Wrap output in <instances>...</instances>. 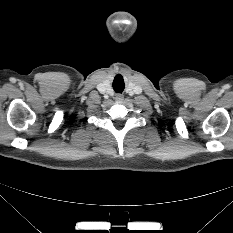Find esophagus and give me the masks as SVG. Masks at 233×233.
I'll list each match as a JSON object with an SVG mask.
<instances>
[{"mask_svg": "<svg viewBox=\"0 0 233 233\" xmlns=\"http://www.w3.org/2000/svg\"><path fill=\"white\" fill-rule=\"evenodd\" d=\"M123 99H124V97H123V95H121V94H117V95L115 96V101H116V102H122Z\"/></svg>", "mask_w": 233, "mask_h": 233, "instance_id": "1", "label": "esophagus"}]
</instances>
